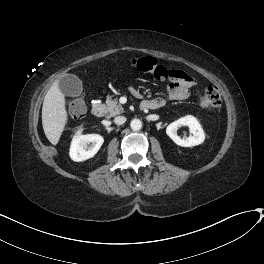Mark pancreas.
I'll return each mask as SVG.
<instances>
[{"label":"pancreas","mask_w":264,"mask_h":264,"mask_svg":"<svg viewBox=\"0 0 264 264\" xmlns=\"http://www.w3.org/2000/svg\"><path fill=\"white\" fill-rule=\"evenodd\" d=\"M124 109L118 102V99L107 98L106 100V116L113 117L123 113Z\"/></svg>","instance_id":"pancreas-1"}]
</instances>
